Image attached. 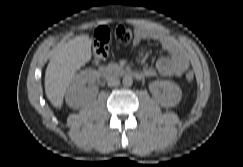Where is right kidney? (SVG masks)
Masks as SVG:
<instances>
[{
  "label": "right kidney",
  "mask_w": 243,
  "mask_h": 167,
  "mask_svg": "<svg viewBox=\"0 0 243 167\" xmlns=\"http://www.w3.org/2000/svg\"><path fill=\"white\" fill-rule=\"evenodd\" d=\"M98 78V72L92 69L84 70L77 74L66 92L65 100L67 105L75 109L85 105L94 96V92L86 84L92 85Z\"/></svg>",
  "instance_id": "right-kidney-1"
}]
</instances>
